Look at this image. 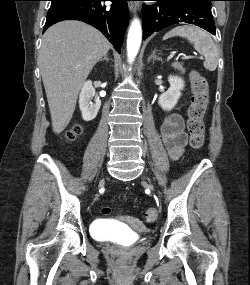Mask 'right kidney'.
<instances>
[{"label":"right kidney","instance_id":"ca27d5eb","mask_svg":"<svg viewBox=\"0 0 250 285\" xmlns=\"http://www.w3.org/2000/svg\"><path fill=\"white\" fill-rule=\"evenodd\" d=\"M95 97V102L92 103V98ZM101 101L95 96V89L91 81H86L79 95V107L82 113V118L85 121H91L96 116L100 109Z\"/></svg>","mask_w":250,"mask_h":285}]
</instances>
